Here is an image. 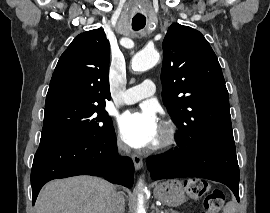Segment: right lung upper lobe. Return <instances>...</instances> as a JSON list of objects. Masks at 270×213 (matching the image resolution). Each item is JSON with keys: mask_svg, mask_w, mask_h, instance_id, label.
Here are the masks:
<instances>
[{"mask_svg": "<svg viewBox=\"0 0 270 213\" xmlns=\"http://www.w3.org/2000/svg\"><path fill=\"white\" fill-rule=\"evenodd\" d=\"M109 60L110 45L102 29L77 35L56 65L45 107L63 102L105 105L111 98Z\"/></svg>", "mask_w": 270, "mask_h": 213, "instance_id": "obj_1", "label": "right lung upper lobe"}]
</instances>
